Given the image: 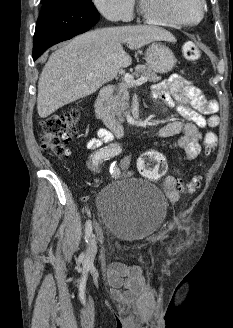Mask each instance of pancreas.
Returning <instances> with one entry per match:
<instances>
[{
  "label": "pancreas",
  "instance_id": "1",
  "mask_svg": "<svg viewBox=\"0 0 233 328\" xmlns=\"http://www.w3.org/2000/svg\"><path fill=\"white\" fill-rule=\"evenodd\" d=\"M133 76L146 77L149 82L153 83L161 80V77L158 76L156 72L152 71L151 68L144 65L137 66ZM128 88L129 86L126 82L120 83L116 93L110 96L107 102V107L111 116L119 122L124 121L126 112L129 109L130 96Z\"/></svg>",
  "mask_w": 233,
  "mask_h": 328
}]
</instances>
